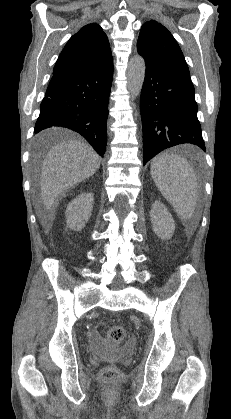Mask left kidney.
<instances>
[{
    "instance_id": "1",
    "label": "left kidney",
    "mask_w": 231,
    "mask_h": 419,
    "mask_svg": "<svg viewBox=\"0 0 231 419\" xmlns=\"http://www.w3.org/2000/svg\"><path fill=\"white\" fill-rule=\"evenodd\" d=\"M150 220L153 231L161 239H170L175 231V223L167 208L160 202L155 201L150 211Z\"/></svg>"
}]
</instances>
